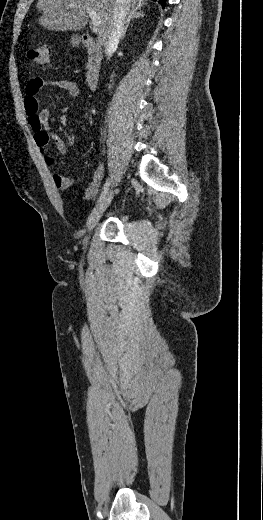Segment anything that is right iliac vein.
Segmentation results:
<instances>
[{"mask_svg": "<svg viewBox=\"0 0 263 520\" xmlns=\"http://www.w3.org/2000/svg\"><path fill=\"white\" fill-rule=\"evenodd\" d=\"M113 194H114L113 190H110V192L107 194V196L104 197L100 201V203L98 205H96V207L92 210V212L88 218V221H87V228H88L89 232L94 229V227L97 225L98 221L100 220L101 216L103 215L104 211L111 203ZM88 238H89L88 236L85 237L84 242H83L84 246L87 245Z\"/></svg>", "mask_w": 263, "mask_h": 520, "instance_id": "1", "label": "right iliac vein"}]
</instances>
